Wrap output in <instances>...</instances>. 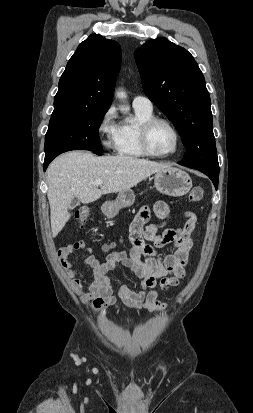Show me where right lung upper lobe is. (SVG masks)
<instances>
[{
	"instance_id": "right-lung-upper-lobe-1",
	"label": "right lung upper lobe",
	"mask_w": 253,
	"mask_h": 413,
	"mask_svg": "<svg viewBox=\"0 0 253 413\" xmlns=\"http://www.w3.org/2000/svg\"><path fill=\"white\" fill-rule=\"evenodd\" d=\"M121 57L117 42L91 34L78 46L60 78L51 116L108 110Z\"/></svg>"
}]
</instances>
